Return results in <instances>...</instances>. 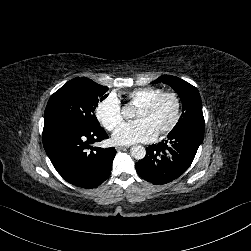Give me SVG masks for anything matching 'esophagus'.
I'll return each mask as SVG.
<instances>
[{"label": "esophagus", "mask_w": 251, "mask_h": 251, "mask_svg": "<svg viewBox=\"0 0 251 251\" xmlns=\"http://www.w3.org/2000/svg\"><path fill=\"white\" fill-rule=\"evenodd\" d=\"M124 149V146H122V145H117L116 146V150L117 151H121V150H123Z\"/></svg>", "instance_id": "esophagus-1"}]
</instances>
